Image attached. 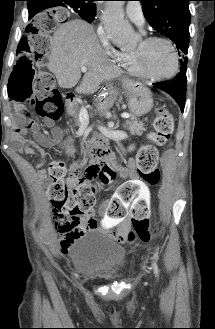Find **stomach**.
I'll return each instance as SVG.
<instances>
[{"label": "stomach", "instance_id": "0dacf381", "mask_svg": "<svg viewBox=\"0 0 215 329\" xmlns=\"http://www.w3.org/2000/svg\"><path fill=\"white\" fill-rule=\"evenodd\" d=\"M124 91L128 98V107L130 112L141 117L153 108V98L151 91L144 85L136 82H127L124 84ZM73 110V105L68 104V112Z\"/></svg>", "mask_w": 215, "mask_h": 329}]
</instances>
